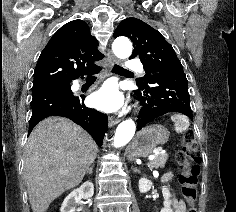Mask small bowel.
<instances>
[{"instance_id":"1","label":"small bowel","mask_w":236,"mask_h":212,"mask_svg":"<svg viewBox=\"0 0 236 212\" xmlns=\"http://www.w3.org/2000/svg\"><path fill=\"white\" fill-rule=\"evenodd\" d=\"M171 174H167L165 177H164V180L165 181H168L171 179ZM173 212H186V208H185V204L183 201H178V200H174V203H173Z\"/></svg>"}]
</instances>
